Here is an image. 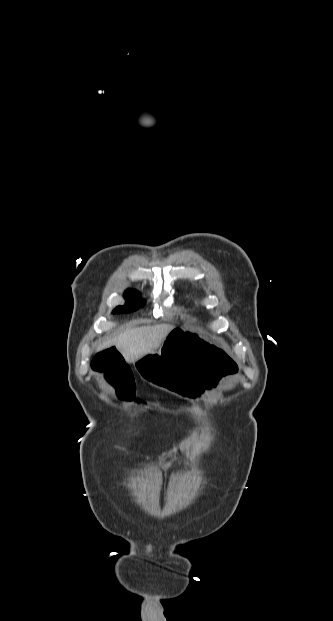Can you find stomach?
Here are the masks:
<instances>
[{
    "instance_id": "1",
    "label": "stomach",
    "mask_w": 333,
    "mask_h": 621,
    "mask_svg": "<svg viewBox=\"0 0 333 621\" xmlns=\"http://www.w3.org/2000/svg\"><path fill=\"white\" fill-rule=\"evenodd\" d=\"M232 359L214 339H203L195 331H170L160 350H146L134 362L135 370L147 377L150 387L183 399L203 400L227 376L236 372Z\"/></svg>"
}]
</instances>
